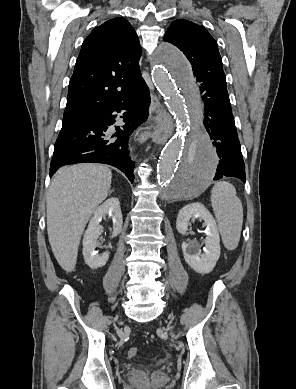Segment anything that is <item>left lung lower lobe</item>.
Returning <instances> with one entry per match:
<instances>
[{"label": "left lung lower lobe", "instance_id": "1", "mask_svg": "<svg viewBox=\"0 0 296 389\" xmlns=\"http://www.w3.org/2000/svg\"><path fill=\"white\" fill-rule=\"evenodd\" d=\"M199 89L186 87L194 117L204 126L217 149L219 165L214 180L236 177L245 183V165L224 75L202 76Z\"/></svg>", "mask_w": 296, "mask_h": 389}]
</instances>
